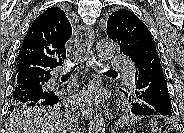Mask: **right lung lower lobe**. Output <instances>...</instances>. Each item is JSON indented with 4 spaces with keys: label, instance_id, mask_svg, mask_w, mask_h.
<instances>
[{
    "label": "right lung lower lobe",
    "instance_id": "98d812e1",
    "mask_svg": "<svg viewBox=\"0 0 184 133\" xmlns=\"http://www.w3.org/2000/svg\"><path fill=\"white\" fill-rule=\"evenodd\" d=\"M61 66V65H58ZM52 68L29 67L15 74V85L12 94L13 103H24L28 106H56L63 101V93L52 90L47 82L51 78Z\"/></svg>",
    "mask_w": 184,
    "mask_h": 133
}]
</instances>
